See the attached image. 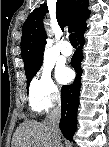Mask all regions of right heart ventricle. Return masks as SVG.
<instances>
[{
	"instance_id": "obj_1",
	"label": "right heart ventricle",
	"mask_w": 109,
	"mask_h": 147,
	"mask_svg": "<svg viewBox=\"0 0 109 147\" xmlns=\"http://www.w3.org/2000/svg\"><path fill=\"white\" fill-rule=\"evenodd\" d=\"M31 106H32L33 110L39 111L38 108L35 105L31 104Z\"/></svg>"
}]
</instances>
